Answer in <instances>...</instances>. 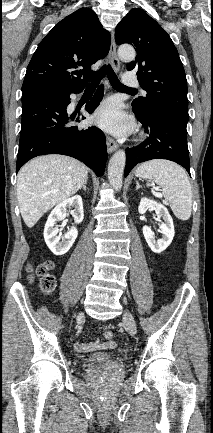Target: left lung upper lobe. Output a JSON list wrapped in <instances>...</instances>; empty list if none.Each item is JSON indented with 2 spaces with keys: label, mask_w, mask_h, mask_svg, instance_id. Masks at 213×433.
Instances as JSON below:
<instances>
[{
  "label": "left lung upper lobe",
  "mask_w": 213,
  "mask_h": 433,
  "mask_svg": "<svg viewBox=\"0 0 213 433\" xmlns=\"http://www.w3.org/2000/svg\"><path fill=\"white\" fill-rule=\"evenodd\" d=\"M115 40L118 45L129 43L137 51L127 70L137 71L147 94L133 100V108L143 115L169 111L189 119L186 75L168 33L145 11L136 8L117 25Z\"/></svg>",
  "instance_id": "1"
}]
</instances>
